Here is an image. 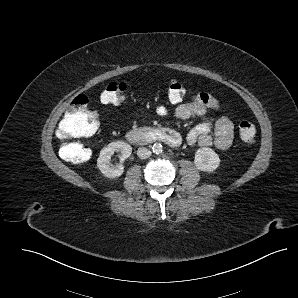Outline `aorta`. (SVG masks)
<instances>
[{
  "mask_svg": "<svg viewBox=\"0 0 298 298\" xmlns=\"http://www.w3.org/2000/svg\"><path fill=\"white\" fill-rule=\"evenodd\" d=\"M163 150V147L160 143H154L153 146H152V151L153 153L155 154H159L161 153Z\"/></svg>",
  "mask_w": 298,
  "mask_h": 298,
  "instance_id": "762f6f07",
  "label": "aorta"
}]
</instances>
